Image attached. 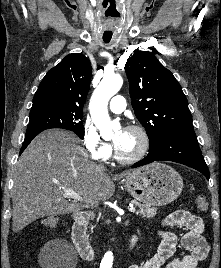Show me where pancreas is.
Here are the masks:
<instances>
[{
    "mask_svg": "<svg viewBox=\"0 0 221 268\" xmlns=\"http://www.w3.org/2000/svg\"><path fill=\"white\" fill-rule=\"evenodd\" d=\"M131 203L139 208L137 214L144 218H152L157 214V208L141 204L136 200H131ZM92 228V227H91Z\"/></svg>",
    "mask_w": 221,
    "mask_h": 268,
    "instance_id": "pancreas-1",
    "label": "pancreas"
}]
</instances>
